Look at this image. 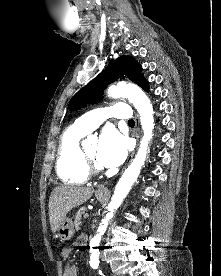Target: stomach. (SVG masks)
I'll use <instances>...</instances> for the list:
<instances>
[{
	"instance_id": "1",
	"label": "stomach",
	"mask_w": 221,
	"mask_h": 276,
	"mask_svg": "<svg viewBox=\"0 0 221 276\" xmlns=\"http://www.w3.org/2000/svg\"><path fill=\"white\" fill-rule=\"evenodd\" d=\"M96 199L100 202H104L107 199V195L100 194L96 192L95 194ZM58 236L62 241L70 240L74 235V225L70 218L65 217L63 221L59 224L58 229Z\"/></svg>"
}]
</instances>
